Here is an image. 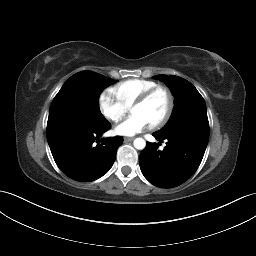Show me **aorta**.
<instances>
[{
	"label": "aorta",
	"mask_w": 256,
	"mask_h": 256,
	"mask_svg": "<svg viewBox=\"0 0 256 256\" xmlns=\"http://www.w3.org/2000/svg\"><path fill=\"white\" fill-rule=\"evenodd\" d=\"M133 145L136 149L142 150L146 146V141L143 138H136L133 142Z\"/></svg>",
	"instance_id": "obj_1"
}]
</instances>
